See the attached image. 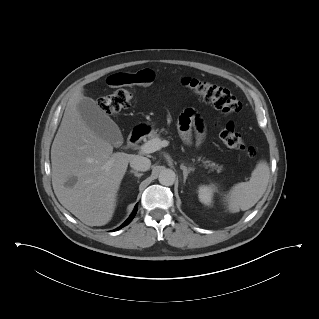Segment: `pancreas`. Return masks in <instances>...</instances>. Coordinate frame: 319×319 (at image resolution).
<instances>
[{"label": "pancreas", "mask_w": 319, "mask_h": 319, "mask_svg": "<svg viewBox=\"0 0 319 319\" xmlns=\"http://www.w3.org/2000/svg\"><path fill=\"white\" fill-rule=\"evenodd\" d=\"M164 129H162L160 132H163ZM160 132L158 133V130H151V132L147 135V138L150 140L156 139L160 137ZM199 161L201 158L198 159ZM205 168H213V169H221V166L218 164L210 161V160H201Z\"/></svg>", "instance_id": "1"}]
</instances>
